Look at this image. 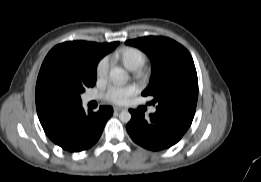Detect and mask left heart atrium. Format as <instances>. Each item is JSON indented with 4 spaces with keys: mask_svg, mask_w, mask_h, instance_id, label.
I'll return each instance as SVG.
<instances>
[{
    "mask_svg": "<svg viewBox=\"0 0 261 182\" xmlns=\"http://www.w3.org/2000/svg\"><path fill=\"white\" fill-rule=\"evenodd\" d=\"M135 85L111 86L105 93V98L115 104H125L136 92Z\"/></svg>",
    "mask_w": 261,
    "mask_h": 182,
    "instance_id": "1",
    "label": "left heart atrium"
}]
</instances>
